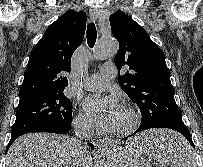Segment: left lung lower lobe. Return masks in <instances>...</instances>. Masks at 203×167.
<instances>
[{
    "instance_id": "obj_1",
    "label": "left lung lower lobe",
    "mask_w": 203,
    "mask_h": 167,
    "mask_svg": "<svg viewBox=\"0 0 203 167\" xmlns=\"http://www.w3.org/2000/svg\"><path fill=\"white\" fill-rule=\"evenodd\" d=\"M159 128H169L172 130H175L177 132H179L180 134H182L188 141L189 143L194 147L190 132L188 130V128L184 125V124H174V125H164V126H158ZM158 127H152V128H158ZM146 129H150L149 127H139L133 134L138 133L140 131L146 130ZM132 134V135H133ZM183 138V137H182ZM184 139V138H183ZM184 141H186L184 139ZM187 143V142H186ZM142 146H146V142L141 144Z\"/></svg>"
}]
</instances>
